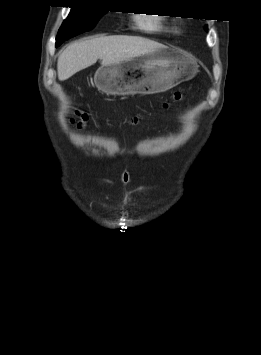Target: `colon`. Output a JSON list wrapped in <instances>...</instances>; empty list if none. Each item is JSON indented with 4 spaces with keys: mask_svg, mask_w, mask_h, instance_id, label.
<instances>
[{
    "mask_svg": "<svg viewBox=\"0 0 261 355\" xmlns=\"http://www.w3.org/2000/svg\"><path fill=\"white\" fill-rule=\"evenodd\" d=\"M183 99H184V95L181 92H176L173 95V101H175V102H180ZM168 105H169L168 103H165L164 107H168ZM75 121H76L77 125L82 126L87 123L88 116L86 113L78 111V112H76V115H75Z\"/></svg>",
    "mask_w": 261,
    "mask_h": 355,
    "instance_id": "1",
    "label": "colon"
}]
</instances>
